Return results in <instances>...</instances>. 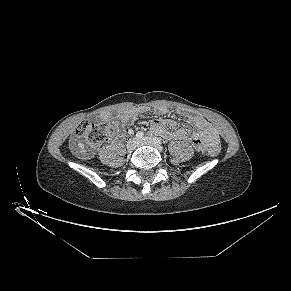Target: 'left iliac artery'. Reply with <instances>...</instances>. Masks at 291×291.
Instances as JSON below:
<instances>
[{"label":"left iliac artery","mask_w":291,"mask_h":291,"mask_svg":"<svg viewBox=\"0 0 291 291\" xmlns=\"http://www.w3.org/2000/svg\"><path fill=\"white\" fill-rule=\"evenodd\" d=\"M153 141H154L155 144H159V145L162 144L161 139L158 138V137H153Z\"/></svg>","instance_id":"1"}]
</instances>
